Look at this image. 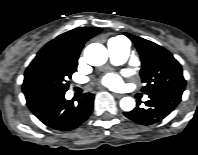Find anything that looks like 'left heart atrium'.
Returning a JSON list of instances; mask_svg holds the SVG:
<instances>
[{
    "mask_svg": "<svg viewBox=\"0 0 198 155\" xmlns=\"http://www.w3.org/2000/svg\"><path fill=\"white\" fill-rule=\"evenodd\" d=\"M101 82L107 87L116 88L121 85V78L116 74H107L102 78Z\"/></svg>",
    "mask_w": 198,
    "mask_h": 155,
    "instance_id": "left-heart-atrium-1",
    "label": "left heart atrium"
}]
</instances>
